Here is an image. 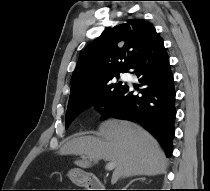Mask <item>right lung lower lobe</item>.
I'll use <instances>...</instances> for the list:
<instances>
[{
    "label": "right lung lower lobe",
    "mask_w": 210,
    "mask_h": 191,
    "mask_svg": "<svg viewBox=\"0 0 210 191\" xmlns=\"http://www.w3.org/2000/svg\"><path fill=\"white\" fill-rule=\"evenodd\" d=\"M130 69L140 77L144 88L134 95L132 88L125 86L107 106L101 120L112 116L141 124L157 138L170 157L175 132V89L169 58L160 36L142 52Z\"/></svg>",
    "instance_id": "right-lung-lower-lobe-1"
}]
</instances>
